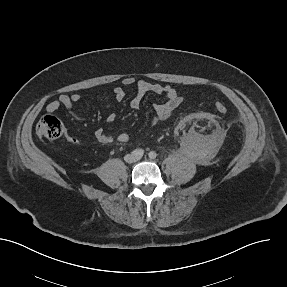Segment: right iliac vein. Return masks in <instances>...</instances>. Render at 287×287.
<instances>
[{
	"label": "right iliac vein",
	"mask_w": 287,
	"mask_h": 287,
	"mask_svg": "<svg viewBox=\"0 0 287 287\" xmlns=\"http://www.w3.org/2000/svg\"><path fill=\"white\" fill-rule=\"evenodd\" d=\"M125 159H126L127 162H132V161L135 160V157H134V155L129 154V155H127V156L125 157Z\"/></svg>",
	"instance_id": "obj_1"
}]
</instances>
